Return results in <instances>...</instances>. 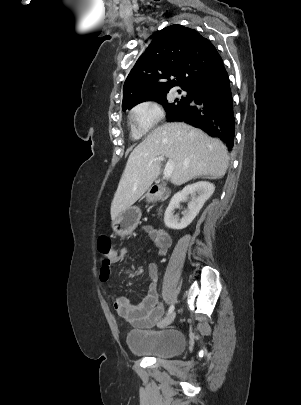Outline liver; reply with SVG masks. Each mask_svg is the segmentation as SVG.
I'll use <instances>...</instances> for the list:
<instances>
[{
	"label": "liver",
	"instance_id": "liver-1",
	"mask_svg": "<svg viewBox=\"0 0 301 405\" xmlns=\"http://www.w3.org/2000/svg\"><path fill=\"white\" fill-rule=\"evenodd\" d=\"M157 156L173 162L170 181L182 185L194 178H222L228 168L226 146L218 139L185 123H166L154 129L131 152L111 204L114 221L129 209L152 185L160 174Z\"/></svg>",
	"mask_w": 301,
	"mask_h": 405
}]
</instances>
